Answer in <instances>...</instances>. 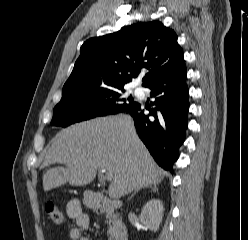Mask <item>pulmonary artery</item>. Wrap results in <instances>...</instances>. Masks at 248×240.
<instances>
[{
    "mask_svg": "<svg viewBox=\"0 0 248 240\" xmlns=\"http://www.w3.org/2000/svg\"><path fill=\"white\" fill-rule=\"evenodd\" d=\"M135 92L137 95H143V90L140 88H137Z\"/></svg>",
    "mask_w": 248,
    "mask_h": 240,
    "instance_id": "pulmonary-artery-1",
    "label": "pulmonary artery"
}]
</instances>
